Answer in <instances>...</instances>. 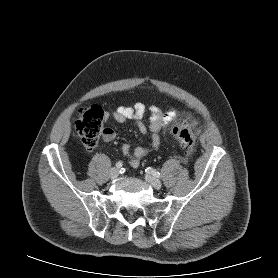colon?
<instances>
[{
	"label": "colon",
	"instance_id": "5ec220e1",
	"mask_svg": "<svg viewBox=\"0 0 278 278\" xmlns=\"http://www.w3.org/2000/svg\"><path fill=\"white\" fill-rule=\"evenodd\" d=\"M104 111L101 107L93 105L84 109L75 123L76 130L84 146L94 149L101 134L104 132ZM172 134L180 142L186 154H191L195 147V136L188 123H181L172 128Z\"/></svg>",
	"mask_w": 278,
	"mask_h": 278
}]
</instances>
